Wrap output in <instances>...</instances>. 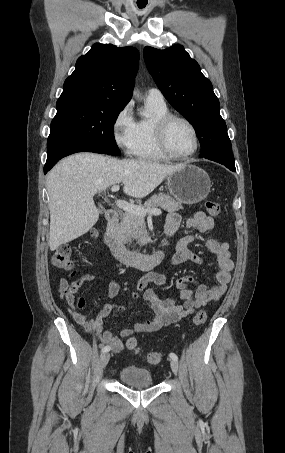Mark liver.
<instances>
[{"mask_svg": "<svg viewBox=\"0 0 285 453\" xmlns=\"http://www.w3.org/2000/svg\"><path fill=\"white\" fill-rule=\"evenodd\" d=\"M181 165L78 153L62 159L47 175L51 251L87 233L98 221L93 197L122 182L125 194L143 198Z\"/></svg>", "mask_w": 285, "mask_h": 453, "instance_id": "liver-1", "label": "liver"}]
</instances>
